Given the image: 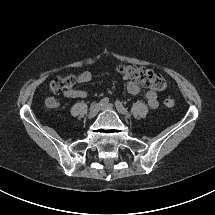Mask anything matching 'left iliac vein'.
<instances>
[{
	"label": "left iliac vein",
	"instance_id": "1",
	"mask_svg": "<svg viewBox=\"0 0 215 215\" xmlns=\"http://www.w3.org/2000/svg\"><path fill=\"white\" fill-rule=\"evenodd\" d=\"M102 110H115L114 106L112 104H106L104 106H102L101 108ZM118 113H122L120 110H118ZM124 114V113H123Z\"/></svg>",
	"mask_w": 215,
	"mask_h": 215
}]
</instances>
